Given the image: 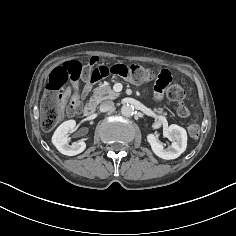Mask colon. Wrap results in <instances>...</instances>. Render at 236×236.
I'll return each mask as SVG.
<instances>
[{
  "label": "colon",
  "instance_id": "obj_1",
  "mask_svg": "<svg viewBox=\"0 0 236 236\" xmlns=\"http://www.w3.org/2000/svg\"><path fill=\"white\" fill-rule=\"evenodd\" d=\"M109 75L127 78L134 83L152 81L155 78L154 72L141 64H115L112 66L83 65L78 60H70L62 66L54 69L46 84L47 93L42 106L41 125L44 130H52L61 121L64 113V99L62 94L68 82H77L83 79L88 83H93L108 77ZM155 91L165 92L168 99L178 103L177 114L187 118L191 115V110L183 103L186 92L178 84L172 83V75L168 70H163L157 77ZM68 113L73 115L81 110L79 98L74 94L67 108ZM188 133L192 138L200 134V126L197 122H192L188 126Z\"/></svg>",
  "mask_w": 236,
  "mask_h": 236
}]
</instances>
